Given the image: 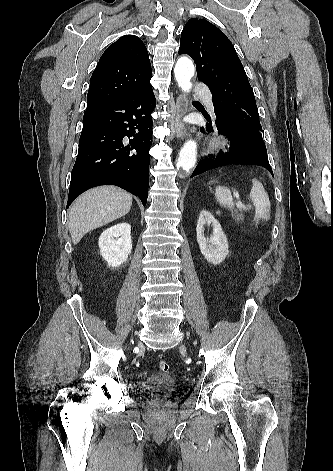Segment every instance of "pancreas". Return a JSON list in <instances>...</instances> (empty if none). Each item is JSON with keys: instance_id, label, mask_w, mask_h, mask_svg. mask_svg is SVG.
Returning <instances> with one entry per match:
<instances>
[{"instance_id": "obj_1", "label": "pancreas", "mask_w": 333, "mask_h": 471, "mask_svg": "<svg viewBox=\"0 0 333 471\" xmlns=\"http://www.w3.org/2000/svg\"><path fill=\"white\" fill-rule=\"evenodd\" d=\"M232 217L237 223H241L244 220L243 215L237 211L232 213Z\"/></svg>"}]
</instances>
